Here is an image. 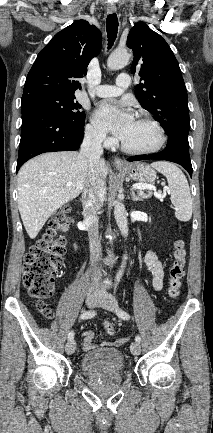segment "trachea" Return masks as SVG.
<instances>
[{
  "instance_id": "obj_1",
  "label": "trachea",
  "mask_w": 213,
  "mask_h": 433,
  "mask_svg": "<svg viewBox=\"0 0 213 433\" xmlns=\"http://www.w3.org/2000/svg\"><path fill=\"white\" fill-rule=\"evenodd\" d=\"M118 18L115 13L109 14L106 20V29L108 36V49H110L116 39L118 31Z\"/></svg>"
}]
</instances>
